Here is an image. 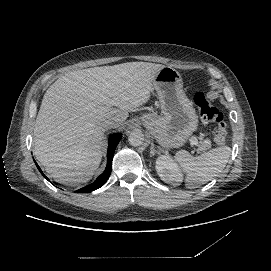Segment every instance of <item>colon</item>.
I'll list each match as a JSON object with an SVG mask.
<instances>
[{"label":"colon","instance_id":"colon-1","mask_svg":"<svg viewBox=\"0 0 271 271\" xmlns=\"http://www.w3.org/2000/svg\"><path fill=\"white\" fill-rule=\"evenodd\" d=\"M195 104L198 108L202 120L206 123L214 124V139L218 145H223L227 139V125L223 114L207 98L204 92H198L194 96Z\"/></svg>","mask_w":271,"mask_h":271}]
</instances>
